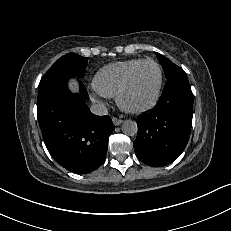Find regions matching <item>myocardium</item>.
Listing matches in <instances>:
<instances>
[{
    "label": "myocardium",
    "instance_id": "f54148a6",
    "mask_svg": "<svg viewBox=\"0 0 231 231\" xmlns=\"http://www.w3.org/2000/svg\"><path fill=\"white\" fill-rule=\"evenodd\" d=\"M147 63L154 64L158 69L159 80H158V85H157L156 91H155L153 97L151 98V100L148 103H146L145 105L140 106V107H135V108L129 107L124 102V95H125L126 91L128 90L137 70L141 66H143L144 64H147ZM163 81H164V74H163V69H162L161 65L153 59H144L141 62H139L137 65H135L127 74L126 78L124 79L123 83L121 84V86H120V88L116 94V102H117L118 106L125 112L133 113V114H140V113L146 112V111L152 109L156 105V103L158 102L159 97L161 95L162 87H163Z\"/></svg>",
    "mask_w": 231,
    "mask_h": 231
}]
</instances>
